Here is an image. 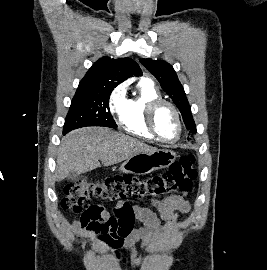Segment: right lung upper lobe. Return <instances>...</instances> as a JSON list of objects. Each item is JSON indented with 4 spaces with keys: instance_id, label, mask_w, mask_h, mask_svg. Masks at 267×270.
Here are the masks:
<instances>
[{
    "instance_id": "cb5924a9",
    "label": "right lung upper lobe",
    "mask_w": 267,
    "mask_h": 270,
    "mask_svg": "<svg viewBox=\"0 0 267 270\" xmlns=\"http://www.w3.org/2000/svg\"><path fill=\"white\" fill-rule=\"evenodd\" d=\"M142 73L138 64L131 58L99 59L80 81L78 88L110 87L118 84L133 75Z\"/></svg>"
}]
</instances>
